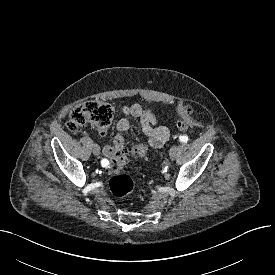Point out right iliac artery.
<instances>
[{
    "label": "right iliac artery",
    "instance_id": "82829eb1",
    "mask_svg": "<svg viewBox=\"0 0 275 275\" xmlns=\"http://www.w3.org/2000/svg\"><path fill=\"white\" fill-rule=\"evenodd\" d=\"M101 165H102L103 167H107V166L109 165V161H108L107 159H102V160H101Z\"/></svg>",
    "mask_w": 275,
    "mask_h": 275
}]
</instances>
